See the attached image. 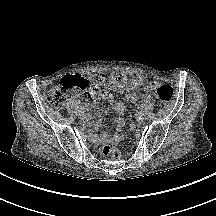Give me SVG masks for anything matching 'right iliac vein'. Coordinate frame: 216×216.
Returning a JSON list of instances; mask_svg holds the SVG:
<instances>
[{
	"label": "right iliac vein",
	"instance_id": "obj_1",
	"mask_svg": "<svg viewBox=\"0 0 216 216\" xmlns=\"http://www.w3.org/2000/svg\"><path fill=\"white\" fill-rule=\"evenodd\" d=\"M80 120H84L86 118L85 114H78Z\"/></svg>",
	"mask_w": 216,
	"mask_h": 216
}]
</instances>
